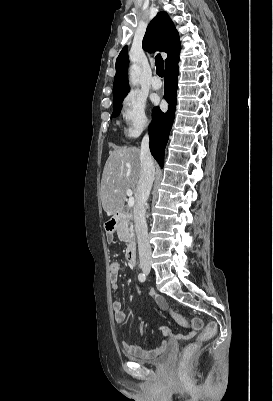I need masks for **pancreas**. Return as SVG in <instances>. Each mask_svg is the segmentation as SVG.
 Segmentation results:
<instances>
[{
  "label": "pancreas",
  "instance_id": "obj_1",
  "mask_svg": "<svg viewBox=\"0 0 273 401\" xmlns=\"http://www.w3.org/2000/svg\"><path fill=\"white\" fill-rule=\"evenodd\" d=\"M117 235L119 237V241H124V243L131 241L132 237H134L132 223L129 225V221H120V223L117 225Z\"/></svg>",
  "mask_w": 273,
  "mask_h": 401
}]
</instances>
